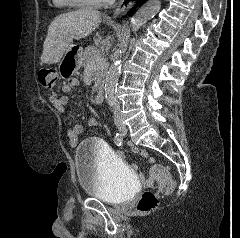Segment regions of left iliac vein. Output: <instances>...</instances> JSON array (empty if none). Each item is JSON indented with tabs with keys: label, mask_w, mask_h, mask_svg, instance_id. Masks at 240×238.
I'll return each instance as SVG.
<instances>
[{
	"label": "left iliac vein",
	"mask_w": 240,
	"mask_h": 238,
	"mask_svg": "<svg viewBox=\"0 0 240 238\" xmlns=\"http://www.w3.org/2000/svg\"><path fill=\"white\" fill-rule=\"evenodd\" d=\"M122 133L126 134L127 133V128L125 126L122 127Z\"/></svg>",
	"instance_id": "left-iliac-vein-1"
}]
</instances>
